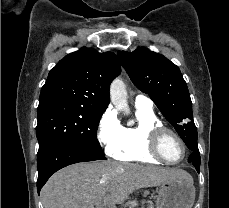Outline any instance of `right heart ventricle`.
<instances>
[{
  "mask_svg": "<svg viewBox=\"0 0 229 208\" xmlns=\"http://www.w3.org/2000/svg\"><path fill=\"white\" fill-rule=\"evenodd\" d=\"M136 119L135 125L122 126L121 144L112 155L116 159L126 162L163 164V160L152 158V153H148V148H151L150 130L161 126L162 122L155 115L153 109L137 106Z\"/></svg>",
  "mask_w": 229,
  "mask_h": 208,
  "instance_id": "right-heart-ventricle-1",
  "label": "right heart ventricle"
}]
</instances>
